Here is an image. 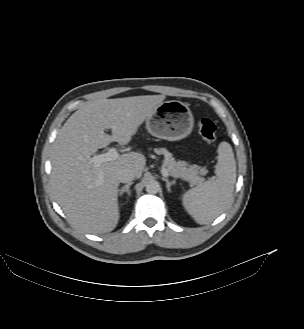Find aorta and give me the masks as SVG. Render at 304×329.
<instances>
[{"instance_id": "obj_1", "label": "aorta", "mask_w": 304, "mask_h": 329, "mask_svg": "<svg viewBox=\"0 0 304 329\" xmlns=\"http://www.w3.org/2000/svg\"><path fill=\"white\" fill-rule=\"evenodd\" d=\"M160 185L157 181H149L146 185V191L150 194H155L159 191Z\"/></svg>"}]
</instances>
